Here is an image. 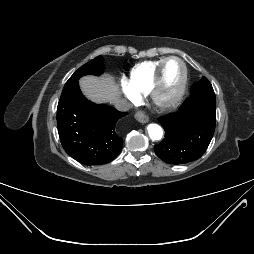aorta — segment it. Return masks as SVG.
Here are the masks:
<instances>
[{
	"label": "aorta",
	"mask_w": 254,
	"mask_h": 254,
	"mask_svg": "<svg viewBox=\"0 0 254 254\" xmlns=\"http://www.w3.org/2000/svg\"><path fill=\"white\" fill-rule=\"evenodd\" d=\"M147 130L152 140H160L163 136V130L158 124H149Z\"/></svg>",
	"instance_id": "aorta-1"
}]
</instances>
